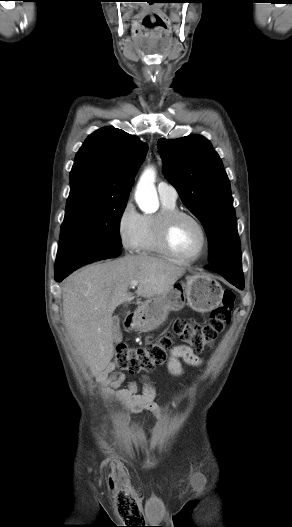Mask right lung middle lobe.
Segmentation results:
<instances>
[{
	"label": "right lung middle lobe",
	"mask_w": 292,
	"mask_h": 527,
	"mask_svg": "<svg viewBox=\"0 0 292 527\" xmlns=\"http://www.w3.org/2000/svg\"><path fill=\"white\" fill-rule=\"evenodd\" d=\"M127 197L107 192L71 187L59 245L67 243H102L122 247L119 224Z\"/></svg>",
	"instance_id": "dd1d6c3e"
}]
</instances>
